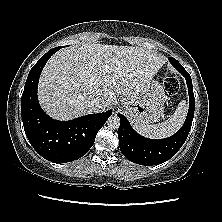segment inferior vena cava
Wrapping results in <instances>:
<instances>
[{
	"mask_svg": "<svg viewBox=\"0 0 222 222\" xmlns=\"http://www.w3.org/2000/svg\"><path fill=\"white\" fill-rule=\"evenodd\" d=\"M85 107L91 112H97L100 108V102L97 98H91L85 101Z\"/></svg>",
	"mask_w": 222,
	"mask_h": 222,
	"instance_id": "inferior-vena-cava-1",
	"label": "inferior vena cava"
}]
</instances>
